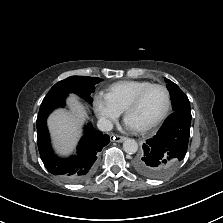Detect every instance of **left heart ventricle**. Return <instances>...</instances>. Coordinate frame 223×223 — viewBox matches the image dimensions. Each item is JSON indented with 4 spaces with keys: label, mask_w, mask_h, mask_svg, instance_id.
I'll list each match as a JSON object with an SVG mask.
<instances>
[{
    "label": "left heart ventricle",
    "mask_w": 223,
    "mask_h": 223,
    "mask_svg": "<svg viewBox=\"0 0 223 223\" xmlns=\"http://www.w3.org/2000/svg\"><path fill=\"white\" fill-rule=\"evenodd\" d=\"M167 103L166 93L161 88H153L146 93L139 105L126 117L134 128L147 126L157 120Z\"/></svg>",
    "instance_id": "obj_1"
}]
</instances>
